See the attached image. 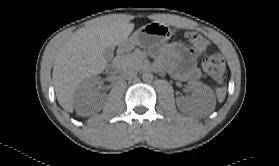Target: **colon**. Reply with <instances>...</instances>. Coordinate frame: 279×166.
<instances>
[{"mask_svg":"<svg viewBox=\"0 0 279 166\" xmlns=\"http://www.w3.org/2000/svg\"><path fill=\"white\" fill-rule=\"evenodd\" d=\"M185 41L194 52L201 53L207 46V40L198 33L188 32ZM204 71L217 83L222 84L226 78L224 59L219 54H206L201 58Z\"/></svg>","mask_w":279,"mask_h":166,"instance_id":"1","label":"colon"}]
</instances>
